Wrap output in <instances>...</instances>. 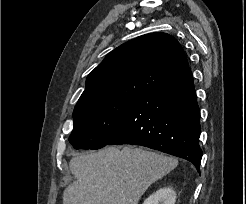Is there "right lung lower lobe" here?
I'll return each instance as SVG.
<instances>
[{"instance_id":"1","label":"right lung lower lobe","mask_w":246,"mask_h":204,"mask_svg":"<svg viewBox=\"0 0 246 204\" xmlns=\"http://www.w3.org/2000/svg\"><path fill=\"white\" fill-rule=\"evenodd\" d=\"M200 111L191 70L139 95L116 136L108 143L142 145L194 164L198 172Z\"/></svg>"}]
</instances>
